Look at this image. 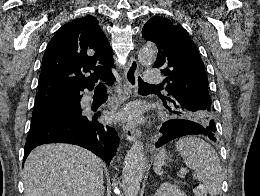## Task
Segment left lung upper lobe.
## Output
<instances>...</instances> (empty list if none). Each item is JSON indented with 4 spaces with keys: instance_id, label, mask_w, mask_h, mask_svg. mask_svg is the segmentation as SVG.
I'll list each match as a JSON object with an SVG mask.
<instances>
[{
    "instance_id": "left-lung-upper-lobe-1",
    "label": "left lung upper lobe",
    "mask_w": 260,
    "mask_h": 196,
    "mask_svg": "<svg viewBox=\"0 0 260 196\" xmlns=\"http://www.w3.org/2000/svg\"><path fill=\"white\" fill-rule=\"evenodd\" d=\"M142 37L158 47L153 67H162L167 76L166 91L169 94L161 99L169 114L204 126L215 122L205 66L185 29L167 18L154 16L145 23Z\"/></svg>"
}]
</instances>
